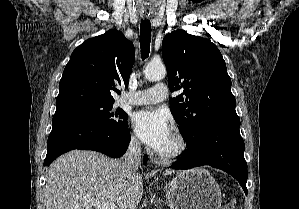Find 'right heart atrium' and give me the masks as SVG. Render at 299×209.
<instances>
[{"mask_svg": "<svg viewBox=\"0 0 299 209\" xmlns=\"http://www.w3.org/2000/svg\"><path fill=\"white\" fill-rule=\"evenodd\" d=\"M129 145L133 149H138L139 148V146H140L139 141H138V139L134 135H132L130 137Z\"/></svg>", "mask_w": 299, "mask_h": 209, "instance_id": "right-heart-atrium-1", "label": "right heart atrium"}]
</instances>
